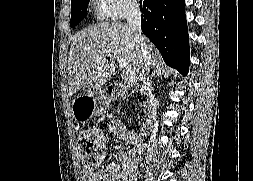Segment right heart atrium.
Returning <instances> with one entry per match:
<instances>
[{"mask_svg":"<svg viewBox=\"0 0 253 181\" xmlns=\"http://www.w3.org/2000/svg\"><path fill=\"white\" fill-rule=\"evenodd\" d=\"M109 17L122 19L138 10L137 0H103Z\"/></svg>","mask_w":253,"mask_h":181,"instance_id":"d8ad5b80","label":"right heart atrium"}]
</instances>
